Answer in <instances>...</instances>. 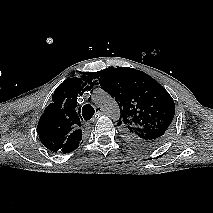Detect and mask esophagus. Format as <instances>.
<instances>
[{"instance_id":"esophagus-1","label":"esophagus","mask_w":213,"mask_h":213,"mask_svg":"<svg viewBox=\"0 0 213 213\" xmlns=\"http://www.w3.org/2000/svg\"><path fill=\"white\" fill-rule=\"evenodd\" d=\"M104 114L103 108L100 106L96 107V116H101ZM93 118L90 122L89 125H93V123L96 121L97 117Z\"/></svg>"}]
</instances>
